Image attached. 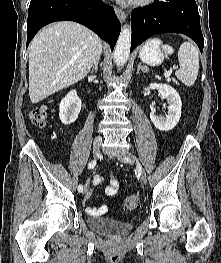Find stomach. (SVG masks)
I'll list each match as a JSON object with an SVG mask.
<instances>
[{
    "instance_id": "1",
    "label": "stomach",
    "mask_w": 221,
    "mask_h": 263,
    "mask_svg": "<svg viewBox=\"0 0 221 263\" xmlns=\"http://www.w3.org/2000/svg\"><path fill=\"white\" fill-rule=\"evenodd\" d=\"M160 43L158 39L148 41L139 52L141 61L151 66L161 64L164 60V54L160 50Z\"/></svg>"
}]
</instances>
